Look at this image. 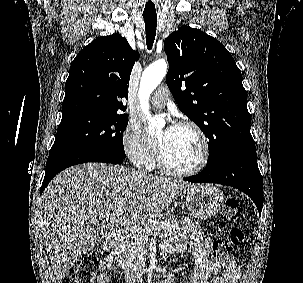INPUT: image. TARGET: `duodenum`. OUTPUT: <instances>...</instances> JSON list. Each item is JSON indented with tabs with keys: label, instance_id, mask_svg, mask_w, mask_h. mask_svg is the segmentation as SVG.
<instances>
[{
	"label": "duodenum",
	"instance_id": "410a0bca",
	"mask_svg": "<svg viewBox=\"0 0 303 283\" xmlns=\"http://www.w3.org/2000/svg\"><path fill=\"white\" fill-rule=\"evenodd\" d=\"M119 230H115L108 235L107 238V248L112 249L117 241ZM149 271V267L147 265H139L136 268L130 270V273L134 276H140Z\"/></svg>",
	"mask_w": 303,
	"mask_h": 283
}]
</instances>
